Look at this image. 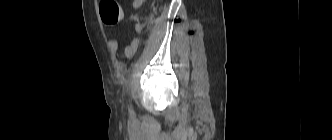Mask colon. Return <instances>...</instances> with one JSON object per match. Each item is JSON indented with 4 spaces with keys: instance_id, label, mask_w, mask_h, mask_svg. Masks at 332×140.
<instances>
[{
    "instance_id": "5ec220e1",
    "label": "colon",
    "mask_w": 332,
    "mask_h": 140,
    "mask_svg": "<svg viewBox=\"0 0 332 140\" xmlns=\"http://www.w3.org/2000/svg\"><path fill=\"white\" fill-rule=\"evenodd\" d=\"M100 14L102 21L106 25H115L123 17L122 9L116 0H101Z\"/></svg>"
}]
</instances>
